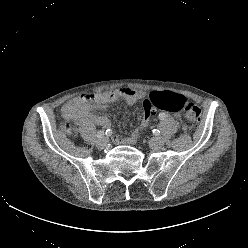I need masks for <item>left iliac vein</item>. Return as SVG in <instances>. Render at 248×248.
Instances as JSON below:
<instances>
[{"instance_id":"obj_1","label":"left iliac vein","mask_w":248,"mask_h":248,"mask_svg":"<svg viewBox=\"0 0 248 248\" xmlns=\"http://www.w3.org/2000/svg\"><path fill=\"white\" fill-rule=\"evenodd\" d=\"M150 144L153 148H161L164 145V139L160 136H156L151 139Z\"/></svg>"}]
</instances>
